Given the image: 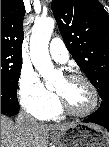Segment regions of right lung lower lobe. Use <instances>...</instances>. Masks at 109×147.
Returning a JSON list of instances; mask_svg holds the SVG:
<instances>
[{"mask_svg": "<svg viewBox=\"0 0 109 147\" xmlns=\"http://www.w3.org/2000/svg\"><path fill=\"white\" fill-rule=\"evenodd\" d=\"M18 112L17 95L1 89V114L15 115Z\"/></svg>", "mask_w": 109, "mask_h": 147, "instance_id": "obj_1", "label": "right lung lower lobe"}]
</instances>
